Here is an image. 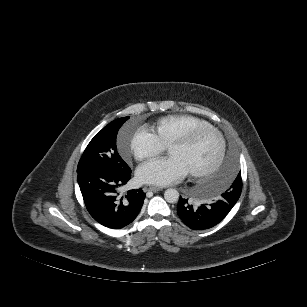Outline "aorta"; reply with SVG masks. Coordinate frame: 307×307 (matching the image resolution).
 I'll use <instances>...</instances> for the list:
<instances>
[{"label": "aorta", "instance_id": "aorta-1", "mask_svg": "<svg viewBox=\"0 0 307 307\" xmlns=\"http://www.w3.org/2000/svg\"><path fill=\"white\" fill-rule=\"evenodd\" d=\"M164 199L168 203H176L179 200V192L176 189L169 188L164 192Z\"/></svg>", "mask_w": 307, "mask_h": 307}]
</instances>
